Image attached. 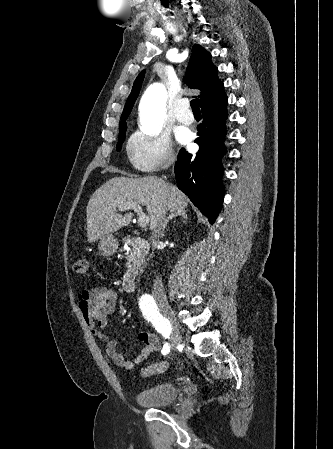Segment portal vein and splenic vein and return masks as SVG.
Masks as SVG:
<instances>
[{"label":"portal vein and splenic vein","instance_id":"obj_1","mask_svg":"<svg viewBox=\"0 0 333 449\" xmlns=\"http://www.w3.org/2000/svg\"><path fill=\"white\" fill-rule=\"evenodd\" d=\"M118 209H119L120 211H124V210H128V209H133L134 212H136V213L138 214V216H139V218H138V225H139L140 227H142V228H145V227L149 224V222H150L149 217L146 216V215L142 212V208H141V206H140L138 203H135V202H129V203H126V204H124V205H122V206H119Z\"/></svg>","mask_w":333,"mask_h":449}]
</instances>
